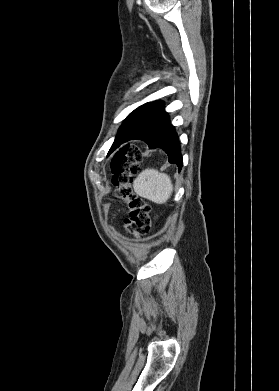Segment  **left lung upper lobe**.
<instances>
[{"label":"left lung upper lobe","instance_id":"1","mask_svg":"<svg viewBox=\"0 0 279 391\" xmlns=\"http://www.w3.org/2000/svg\"><path fill=\"white\" fill-rule=\"evenodd\" d=\"M167 113L164 111L162 101L146 103L133 112L124 120L110 151L121 145L122 139L127 135L139 134L158 122Z\"/></svg>","mask_w":279,"mask_h":391}]
</instances>
